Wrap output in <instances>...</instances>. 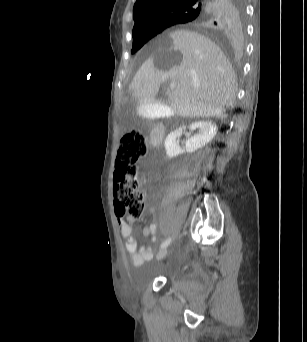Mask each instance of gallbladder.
Masks as SVG:
<instances>
[{
	"instance_id": "bac80fb5",
	"label": "gallbladder",
	"mask_w": 307,
	"mask_h": 342,
	"mask_svg": "<svg viewBox=\"0 0 307 342\" xmlns=\"http://www.w3.org/2000/svg\"><path fill=\"white\" fill-rule=\"evenodd\" d=\"M133 101L137 102L135 108L140 114H147L148 118H171L173 108L169 103H160L153 95H134Z\"/></svg>"
}]
</instances>
